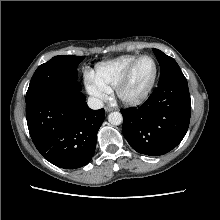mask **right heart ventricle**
Instances as JSON below:
<instances>
[{"instance_id":"1","label":"right heart ventricle","mask_w":220,"mask_h":220,"mask_svg":"<svg viewBox=\"0 0 220 220\" xmlns=\"http://www.w3.org/2000/svg\"><path fill=\"white\" fill-rule=\"evenodd\" d=\"M137 57L136 55H124L100 63L96 66L95 78L111 90L116 87Z\"/></svg>"}]
</instances>
